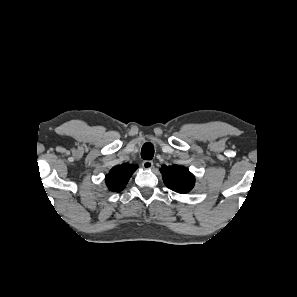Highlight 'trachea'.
Wrapping results in <instances>:
<instances>
[{
  "label": "trachea",
  "instance_id": "3493384b",
  "mask_svg": "<svg viewBox=\"0 0 297 297\" xmlns=\"http://www.w3.org/2000/svg\"><path fill=\"white\" fill-rule=\"evenodd\" d=\"M154 156V147L150 143L144 144L141 149V157L145 160H150Z\"/></svg>",
  "mask_w": 297,
  "mask_h": 297
}]
</instances>
